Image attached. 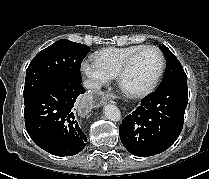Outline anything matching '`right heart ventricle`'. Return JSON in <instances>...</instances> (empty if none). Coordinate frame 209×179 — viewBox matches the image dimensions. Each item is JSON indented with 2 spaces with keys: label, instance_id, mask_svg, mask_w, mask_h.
I'll return each mask as SVG.
<instances>
[{
  "label": "right heart ventricle",
  "instance_id": "e07e8e85",
  "mask_svg": "<svg viewBox=\"0 0 209 179\" xmlns=\"http://www.w3.org/2000/svg\"><path fill=\"white\" fill-rule=\"evenodd\" d=\"M145 45H128L123 47H107L97 51L93 60L100 71L108 78L116 77L124 62Z\"/></svg>",
  "mask_w": 209,
  "mask_h": 179
}]
</instances>
